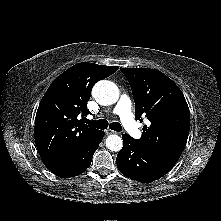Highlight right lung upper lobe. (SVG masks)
Listing matches in <instances>:
<instances>
[{
  "label": "right lung upper lobe",
  "instance_id": "cb5924a9",
  "mask_svg": "<svg viewBox=\"0 0 221 221\" xmlns=\"http://www.w3.org/2000/svg\"><path fill=\"white\" fill-rule=\"evenodd\" d=\"M118 68L78 63L51 83L39 104L34 127L39 155L49 170L68 162L100 131L78 120V115L87 116L93 85Z\"/></svg>",
  "mask_w": 221,
  "mask_h": 221
}]
</instances>
